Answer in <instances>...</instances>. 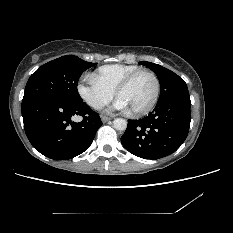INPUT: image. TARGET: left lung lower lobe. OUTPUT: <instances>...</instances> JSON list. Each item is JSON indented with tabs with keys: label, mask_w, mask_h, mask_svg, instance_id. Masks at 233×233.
<instances>
[{
	"label": "left lung lower lobe",
	"mask_w": 233,
	"mask_h": 233,
	"mask_svg": "<svg viewBox=\"0 0 233 233\" xmlns=\"http://www.w3.org/2000/svg\"><path fill=\"white\" fill-rule=\"evenodd\" d=\"M190 96L181 95L161 104L140 120L128 121L122 145L145 159H159L175 152L185 141L190 127Z\"/></svg>",
	"instance_id": "0a47b994"
}]
</instances>
